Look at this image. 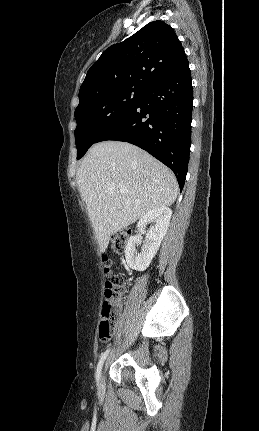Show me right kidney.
<instances>
[{
    "label": "right kidney",
    "instance_id": "1",
    "mask_svg": "<svg viewBox=\"0 0 259 431\" xmlns=\"http://www.w3.org/2000/svg\"><path fill=\"white\" fill-rule=\"evenodd\" d=\"M171 216L172 210L164 206L154 208L141 216L137 224L139 232L150 222H154L155 226L147 231L141 252H137L136 250V246L141 242L140 237L136 234L129 238L125 249V258L131 269L144 271L148 268L166 235Z\"/></svg>",
    "mask_w": 259,
    "mask_h": 431
}]
</instances>
